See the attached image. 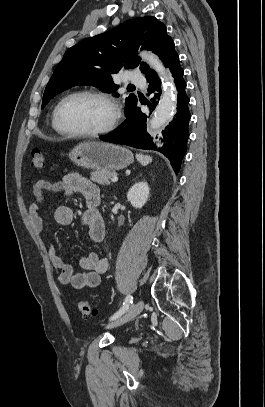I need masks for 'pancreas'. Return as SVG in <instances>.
Instances as JSON below:
<instances>
[{
  "label": "pancreas",
  "instance_id": "obj_1",
  "mask_svg": "<svg viewBox=\"0 0 265 407\" xmlns=\"http://www.w3.org/2000/svg\"><path fill=\"white\" fill-rule=\"evenodd\" d=\"M116 173L113 171H99L96 170L91 173V180L100 185H109L111 177L115 176Z\"/></svg>",
  "mask_w": 265,
  "mask_h": 407
}]
</instances>
